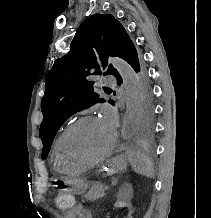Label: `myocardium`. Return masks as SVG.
I'll list each match as a JSON object with an SVG mask.
<instances>
[{"label": "myocardium", "instance_id": "1", "mask_svg": "<svg viewBox=\"0 0 211 218\" xmlns=\"http://www.w3.org/2000/svg\"><path fill=\"white\" fill-rule=\"evenodd\" d=\"M99 117L95 116V115H85L82 116L78 119H76L74 122H72L63 132L61 140H60V144L57 150V160H60L61 163L63 164H68L69 161L66 160L63 157V153H62V149L65 145V142L67 140L68 135L70 134V132L77 127L78 125H80L81 123L85 122V121H89V120H93V119H98ZM113 131V138H112V143L111 145L103 152L101 153L99 156L95 157L92 160L86 161V162H76L73 163L76 166L82 167V168H87V167H91L97 163H99L100 161L104 160L105 158H107L109 155H111V153L113 152V150L115 149L116 145H117V141H118V135L117 132L115 130Z\"/></svg>", "mask_w": 211, "mask_h": 218}]
</instances>
